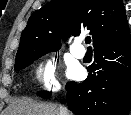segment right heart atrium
Segmentation results:
<instances>
[{
	"label": "right heart atrium",
	"instance_id": "right-heart-atrium-1",
	"mask_svg": "<svg viewBox=\"0 0 131 115\" xmlns=\"http://www.w3.org/2000/svg\"><path fill=\"white\" fill-rule=\"evenodd\" d=\"M36 77L45 89L55 91L58 84L55 77V66L51 60L40 62L36 68Z\"/></svg>",
	"mask_w": 131,
	"mask_h": 115
}]
</instances>
